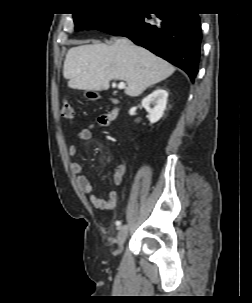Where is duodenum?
<instances>
[{
	"label": "duodenum",
	"mask_w": 252,
	"mask_h": 303,
	"mask_svg": "<svg viewBox=\"0 0 252 303\" xmlns=\"http://www.w3.org/2000/svg\"><path fill=\"white\" fill-rule=\"evenodd\" d=\"M117 116H118V109L117 107H115L107 116H105V119L107 121H112L116 119Z\"/></svg>",
	"instance_id": "410a0bca"
}]
</instances>
